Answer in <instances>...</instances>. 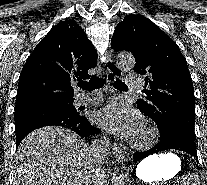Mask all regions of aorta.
<instances>
[{
	"mask_svg": "<svg viewBox=\"0 0 207 185\" xmlns=\"http://www.w3.org/2000/svg\"><path fill=\"white\" fill-rule=\"evenodd\" d=\"M117 64L121 70H130L135 65L134 56L130 53L119 54ZM127 162V156L120 155L118 157L112 176V185H128L130 183Z\"/></svg>",
	"mask_w": 207,
	"mask_h": 185,
	"instance_id": "aorta-1",
	"label": "aorta"
}]
</instances>
